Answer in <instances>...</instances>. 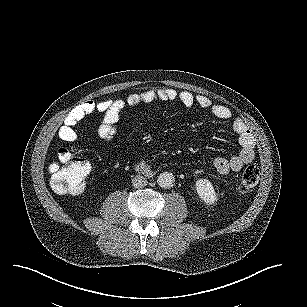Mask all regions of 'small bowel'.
Segmentation results:
<instances>
[{
    "label": "small bowel",
    "mask_w": 307,
    "mask_h": 307,
    "mask_svg": "<svg viewBox=\"0 0 307 307\" xmlns=\"http://www.w3.org/2000/svg\"><path fill=\"white\" fill-rule=\"evenodd\" d=\"M171 102L180 101L186 107L198 106L210 111L216 118L221 120H230L232 118L231 110L223 105L214 103L205 95H193L189 91H177L172 88H160L156 90H146L139 93H132L125 98L115 100H103L95 102L86 101L73 108L65 117L63 125L60 127L58 135L64 142H74L77 139L75 127L85 117L99 112L103 115L102 122L98 128V136L105 142H110L115 133L116 126L120 120L122 112L126 106L134 107L140 104L152 102ZM232 129L238 137L241 146L240 152L226 158L217 156L213 160L215 171L221 175L229 172H238L246 164L251 163L255 158V140L246 124L241 119L232 121Z\"/></svg>",
    "instance_id": "c3829d8e"
}]
</instances>
